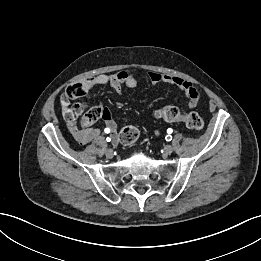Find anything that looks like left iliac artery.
Masks as SVG:
<instances>
[{
    "mask_svg": "<svg viewBox=\"0 0 261 261\" xmlns=\"http://www.w3.org/2000/svg\"><path fill=\"white\" fill-rule=\"evenodd\" d=\"M173 132V130L171 129V128H168L167 129V133L168 134H171ZM165 139H166V141H171L172 140V136L171 135H167L166 137H165Z\"/></svg>",
    "mask_w": 261,
    "mask_h": 261,
    "instance_id": "44dca946",
    "label": "left iliac artery"
}]
</instances>
